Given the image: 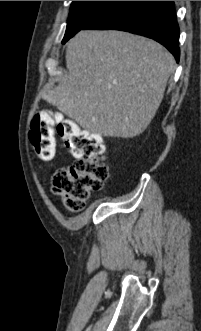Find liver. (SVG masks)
Masks as SVG:
<instances>
[{
  "mask_svg": "<svg viewBox=\"0 0 201 331\" xmlns=\"http://www.w3.org/2000/svg\"><path fill=\"white\" fill-rule=\"evenodd\" d=\"M67 74L44 99L93 134L132 138L154 118L175 60L158 42L123 31H80Z\"/></svg>",
  "mask_w": 201,
  "mask_h": 331,
  "instance_id": "1",
  "label": "liver"
}]
</instances>
